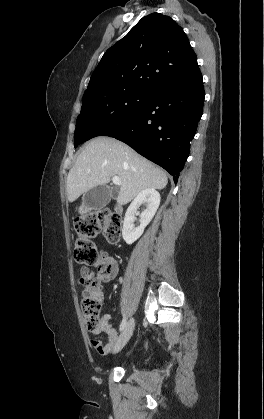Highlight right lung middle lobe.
<instances>
[{"label": "right lung middle lobe", "mask_w": 264, "mask_h": 419, "mask_svg": "<svg viewBox=\"0 0 264 419\" xmlns=\"http://www.w3.org/2000/svg\"><path fill=\"white\" fill-rule=\"evenodd\" d=\"M151 93L146 89L131 88L84 96L74 134L75 148L130 117L149 99Z\"/></svg>", "instance_id": "right-lung-middle-lobe-1"}]
</instances>
